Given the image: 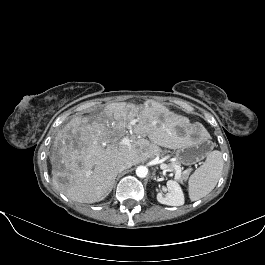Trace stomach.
<instances>
[{
    "label": "stomach",
    "mask_w": 265,
    "mask_h": 265,
    "mask_svg": "<svg viewBox=\"0 0 265 265\" xmlns=\"http://www.w3.org/2000/svg\"><path fill=\"white\" fill-rule=\"evenodd\" d=\"M212 144L209 140L199 136L191 138L189 135L188 143L179 148L177 158L184 165H192L206 157L211 150Z\"/></svg>",
    "instance_id": "obj_1"
}]
</instances>
